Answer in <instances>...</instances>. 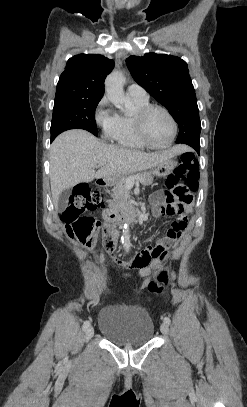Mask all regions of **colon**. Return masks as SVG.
I'll list each match as a JSON object with an SVG mask.
<instances>
[{"label": "colon", "instance_id": "colon-1", "mask_svg": "<svg viewBox=\"0 0 247 407\" xmlns=\"http://www.w3.org/2000/svg\"><path fill=\"white\" fill-rule=\"evenodd\" d=\"M199 162L192 153H184L178 166L165 182V188L172 189L176 197L185 203H191L192 195L198 188ZM103 205V197L88 185L78 186L70 197L69 205L61 215L67 234L76 237L86 249H92L100 238L102 224L87 212ZM169 283L168 274L161 270L155 280L149 283L152 294H160Z\"/></svg>", "mask_w": 247, "mask_h": 407}]
</instances>
